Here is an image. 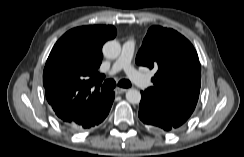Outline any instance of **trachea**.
I'll return each instance as SVG.
<instances>
[{"label":"trachea","instance_id":"obj_1","mask_svg":"<svg viewBox=\"0 0 244 157\" xmlns=\"http://www.w3.org/2000/svg\"><path fill=\"white\" fill-rule=\"evenodd\" d=\"M118 85L120 87H123V88H128L131 86V82L129 80L123 79V80L119 81ZM115 86H116V82L113 79H108L102 85L101 90L102 91H109V90L114 89Z\"/></svg>","mask_w":244,"mask_h":157}]
</instances>
